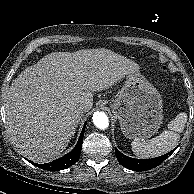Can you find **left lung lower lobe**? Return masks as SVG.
Instances as JSON below:
<instances>
[{
    "instance_id": "obj_1",
    "label": "left lung lower lobe",
    "mask_w": 194,
    "mask_h": 194,
    "mask_svg": "<svg viewBox=\"0 0 194 194\" xmlns=\"http://www.w3.org/2000/svg\"><path fill=\"white\" fill-rule=\"evenodd\" d=\"M175 149H173L171 152L164 154L162 156L152 158V159H135L128 157L121 152H119L117 149L115 150L116 157L119 161V163L133 171H145L152 169L158 165H160L168 156H170Z\"/></svg>"
}]
</instances>
